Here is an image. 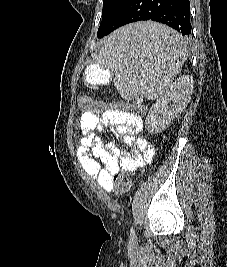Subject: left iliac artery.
<instances>
[{
  "label": "left iliac artery",
  "instance_id": "obj_1",
  "mask_svg": "<svg viewBox=\"0 0 227 267\" xmlns=\"http://www.w3.org/2000/svg\"><path fill=\"white\" fill-rule=\"evenodd\" d=\"M131 236H132V237H135V232H134L133 227H131Z\"/></svg>",
  "mask_w": 227,
  "mask_h": 267
}]
</instances>
